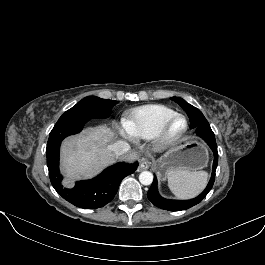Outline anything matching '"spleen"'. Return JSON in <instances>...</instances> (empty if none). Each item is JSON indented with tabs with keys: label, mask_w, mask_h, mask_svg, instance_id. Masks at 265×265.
<instances>
[{
	"label": "spleen",
	"mask_w": 265,
	"mask_h": 265,
	"mask_svg": "<svg viewBox=\"0 0 265 265\" xmlns=\"http://www.w3.org/2000/svg\"><path fill=\"white\" fill-rule=\"evenodd\" d=\"M168 186L175 196L188 199L198 195L205 187L208 173L205 171L171 170L167 174Z\"/></svg>",
	"instance_id": "spleen-1"
}]
</instances>
